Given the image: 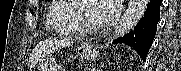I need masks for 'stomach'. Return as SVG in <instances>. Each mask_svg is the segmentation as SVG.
Segmentation results:
<instances>
[{"label":"stomach","instance_id":"obj_1","mask_svg":"<svg viewBox=\"0 0 181 71\" xmlns=\"http://www.w3.org/2000/svg\"><path fill=\"white\" fill-rule=\"evenodd\" d=\"M99 53L96 48L91 45H81L78 49V56L83 60H94L98 57ZM39 71H57V67L50 61H44L39 66Z\"/></svg>","mask_w":181,"mask_h":71}]
</instances>
